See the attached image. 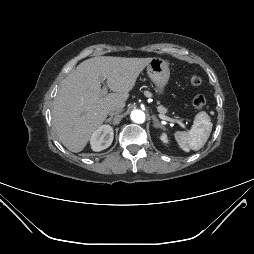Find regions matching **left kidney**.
<instances>
[{
    "label": "left kidney",
    "mask_w": 254,
    "mask_h": 254,
    "mask_svg": "<svg viewBox=\"0 0 254 254\" xmlns=\"http://www.w3.org/2000/svg\"><path fill=\"white\" fill-rule=\"evenodd\" d=\"M160 139L163 143H169V139L166 133H162Z\"/></svg>",
    "instance_id": "obj_1"
}]
</instances>
